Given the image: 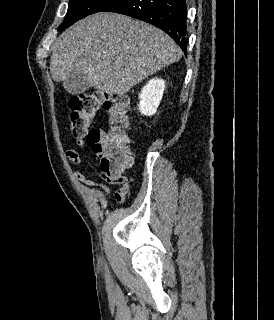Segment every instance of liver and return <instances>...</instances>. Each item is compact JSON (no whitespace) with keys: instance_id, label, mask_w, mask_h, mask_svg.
<instances>
[{"instance_id":"liver-1","label":"liver","mask_w":274,"mask_h":320,"mask_svg":"<svg viewBox=\"0 0 274 320\" xmlns=\"http://www.w3.org/2000/svg\"><path fill=\"white\" fill-rule=\"evenodd\" d=\"M51 52V78L63 82L69 94H80L88 84L110 96L127 94L182 58L179 46L159 28L110 12L76 22L57 38Z\"/></svg>"}]
</instances>
